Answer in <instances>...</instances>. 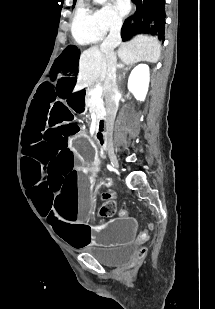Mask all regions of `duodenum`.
<instances>
[{"instance_id":"duodenum-1","label":"duodenum","mask_w":215,"mask_h":309,"mask_svg":"<svg viewBox=\"0 0 215 309\" xmlns=\"http://www.w3.org/2000/svg\"><path fill=\"white\" fill-rule=\"evenodd\" d=\"M96 141L100 148L105 149L107 146L105 132H104V121L99 120V128L96 133Z\"/></svg>"}]
</instances>
